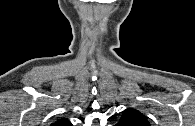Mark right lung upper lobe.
Listing matches in <instances>:
<instances>
[{
  "label": "right lung upper lobe",
  "mask_w": 195,
  "mask_h": 126,
  "mask_svg": "<svg viewBox=\"0 0 195 126\" xmlns=\"http://www.w3.org/2000/svg\"><path fill=\"white\" fill-rule=\"evenodd\" d=\"M51 126H71V123L67 119H59L55 123L51 124Z\"/></svg>",
  "instance_id": "cb5924a9"
}]
</instances>
